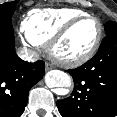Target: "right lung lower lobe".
Masks as SVG:
<instances>
[{"label":"right lung lower lobe","instance_id":"obj_1","mask_svg":"<svg viewBox=\"0 0 117 117\" xmlns=\"http://www.w3.org/2000/svg\"><path fill=\"white\" fill-rule=\"evenodd\" d=\"M44 75V62L28 63L15 52L10 19H0V117H20L29 90Z\"/></svg>","mask_w":117,"mask_h":117}]
</instances>
